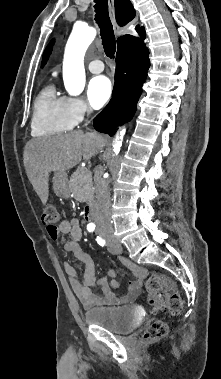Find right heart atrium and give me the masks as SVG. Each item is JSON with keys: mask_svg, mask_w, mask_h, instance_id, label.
Here are the masks:
<instances>
[{"mask_svg": "<svg viewBox=\"0 0 221 379\" xmlns=\"http://www.w3.org/2000/svg\"><path fill=\"white\" fill-rule=\"evenodd\" d=\"M67 109L75 124L80 123L91 113V108L85 100L78 97H64Z\"/></svg>", "mask_w": 221, "mask_h": 379, "instance_id": "1", "label": "right heart atrium"}]
</instances>
